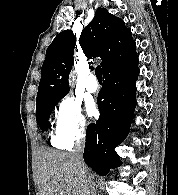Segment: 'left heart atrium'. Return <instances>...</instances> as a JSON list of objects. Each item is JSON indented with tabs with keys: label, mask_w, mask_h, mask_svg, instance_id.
I'll return each mask as SVG.
<instances>
[{
	"label": "left heart atrium",
	"mask_w": 178,
	"mask_h": 195,
	"mask_svg": "<svg viewBox=\"0 0 178 195\" xmlns=\"http://www.w3.org/2000/svg\"><path fill=\"white\" fill-rule=\"evenodd\" d=\"M86 109H87V114L89 117L96 116L98 113V109H97L96 104L93 100H90L86 103Z\"/></svg>",
	"instance_id": "obj_1"
}]
</instances>
